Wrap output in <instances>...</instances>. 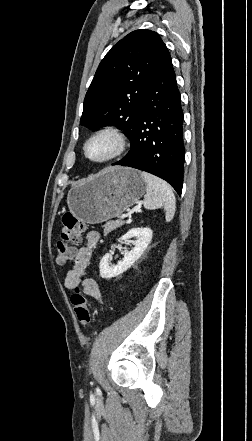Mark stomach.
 Segmentation results:
<instances>
[{
  "label": "stomach",
  "mask_w": 252,
  "mask_h": 441,
  "mask_svg": "<svg viewBox=\"0 0 252 441\" xmlns=\"http://www.w3.org/2000/svg\"><path fill=\"white\" fill-rule=\"evenodd\" d=\"M141 172L128 167H109L68 192L69 210L80 221L98 224L120 216L145 193Z\"/></svg>",
  "instance_id": "obj_1"
}]
</instances>
